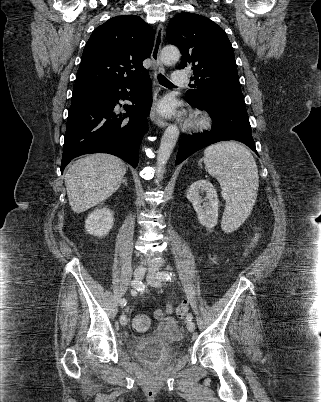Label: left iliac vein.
<instances>
[{
	"instance_id": "obj_1",
	"label": "left iliac vein",
	"mask_w": 321,
	"mask_h": 402,
	"mask_svg": "<svg viewBox=\"0 0 321 402\" xmlns=\"http://www.w3.org/2000/svg\"><path fill=\"white\" fill-rule=\"evenodd\" d=\"M161 272L157 271H149L147 274V281L150 283L151 286L153 287H160L161 282L158 280L157 275ZM186 327L188 331L194 332L195 331V324L192 320H187L186 321Z\"/></svg>"
}]
</instances>
